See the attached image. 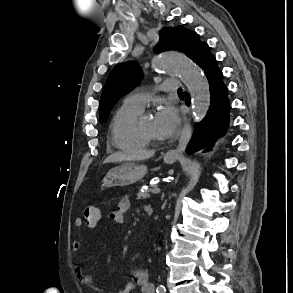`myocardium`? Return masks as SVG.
<instances>
[{
    "label": "myocardium",
    "mask_w": 293,
    "mask_h": 293,
    "mask_svg": "<svg viewBox=\"0 0 293 293\" xmlns=\"http://www.w3.org/2000/svg\"><path fill=\"white\" fill-rule=\"evenodd\" d=\"M145 114H141L137 120V132L140 135V137L148 144L151 146H158L161 145L163 142L161 140H155L151 137H149L142 129L141 127V120L145 117Z\"/></svg>",
    "instance_id": "myocardium-1"
}]
</instances>
